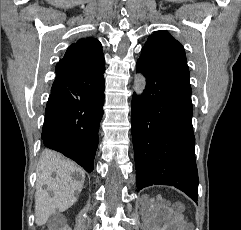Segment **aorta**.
I'll return each instance as SVG.
<instances>
[{"label":"aorta","instance_id":"obj_1","mask_svg":"<svg viewBox=\"0 0 241 230\" xmlns=\"http://www.w3.org/2000/svg\"><path fill=\"white\" fill-rule=\"evenodd\" d=\"M146 87V79L142 74H137L134 80V91L137 95H141Z\"/></svg>","mask_w":241,"mask_h":230}]
</instances>
